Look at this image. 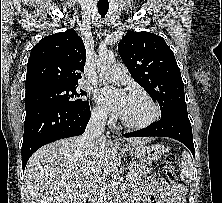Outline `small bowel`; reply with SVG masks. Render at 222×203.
Segmentation results:
<instances>
[{
  "mask_svg": "<svg viewBox=\"0 0 222 203\" xmlns=\"http://www.w3.org/2000/svg\"><path fill=\"white\" fill-rule=\"evenodd\" d=\"M142 196H147L149 203H184L185 195L181 186L170 185L162 180H151ZM143 202L141 197L136 203Z\"/></svg>",
  "mask_w": 222,
  "mask_h": 203,
  "instance_id": "small-bowel-1",
  "label": "small bowel"
}]
</instances>
